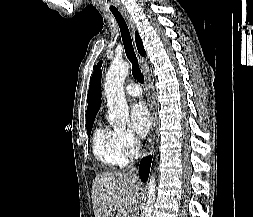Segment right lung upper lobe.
I'll return each mask as SVG.
<instances>
[{
    "instance_id": "cb5924a9",
    "label": "right lung upper lobe",
    "mask_w": 253,
    "mask_h": 217,
    "mask_svg": "<svg viewBox=\"0 0 253 217\" xmlns=\"http://www.w3.org/2000/svg\"><path fill=\"white\" fill-rule=\"evenodd\" d=\"M135 39L139 53L144 56L145 50L143 43L137 32L135 33ZM87 102L86 123L94 121L101 106V71H97L91 79Z\"/></svg>"
}]
</instances>
